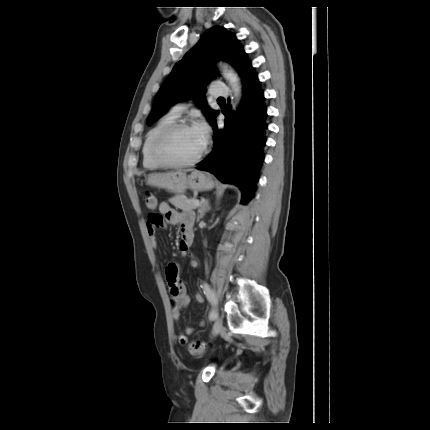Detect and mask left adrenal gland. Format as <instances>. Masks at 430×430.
Masks as SVG:
<instances>
[{
	"label": "left adrenal gland",
	"instance_id": "a2214340",
	"mask_svg": "<svg viewBox=\"0 0 430 430\" xmlns=\"http://www.w3.org/2000/svg\"><path fill=\"white\" fill-rule=\"evenodd\" d=\"M209 206H208V200L204 201V203L202 204L200 210H199V215H198V219L203 218V216L205 215V213L207 211H209Z\"/></svg>",
	"mask_w": 430,
	"mask_h": 430
}]
</instances>
